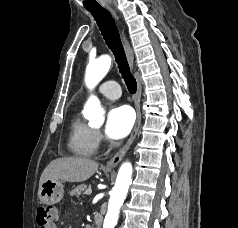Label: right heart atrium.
I'll use <instances>...</instances> for the list:
<instances>
[{
    "instance_id": "right-heart-atrium-1",
    "label": "right heart atrium",
    "mask_w": 238,
    "mask_h": 228,
    "mask_svg": "<svg viewBox=\"0 0 238 228\" xmlns=\"http://www.w3.org/2000/svg\"><path fill=\"white\" fill-rule=\"evenodd\" d=\"M95 134H96L97 141L98 142L101 141V139H102L101 133L99 131H95Z\"/></svg>"
}]
</instances>
